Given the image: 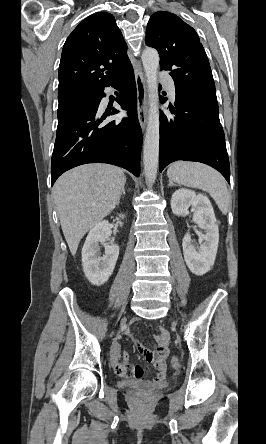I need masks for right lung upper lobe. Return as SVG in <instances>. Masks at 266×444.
Returning <instances> with one entry per match:
<instances>
[{"label": "right lung upper lobe", "mask_w": 266, "mask_h": 444, "mask_svg": "<svg viewBox=\"0 0 266 444\" xmlns=\"http://www.w3.org/2000/svg\"><path fill=\"white\" fill-rule=\"evenodd\" d=\"M126 51L113 15L99 12L84 19L63 46L58 98L99 92L130 63Z\"/></svg>", "instance_id": "obj_1"}]
</instances>
